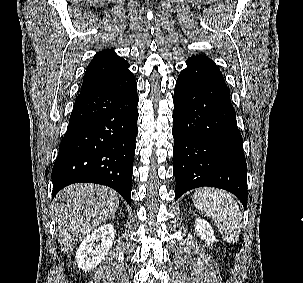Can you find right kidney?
Returning <instances> with one entry per match:
<instances>
[{
	"label": "right kidney",
	"instance_id": "ca27d5eb",
	"mask_svg": "<svg viewBox=\"0 0 303 283\" xmlns=\"http://www.w3.org/2000/svg\"><path fill=\"white\" fill-rule=\"evenodd\" d=\"M115 239L112 224H104L90 233L76 251V263L84 271L94 269L108 254Z\"/></svg>",
	"mask_w": 303,
	"mask_h": 283
}]
</instances>
